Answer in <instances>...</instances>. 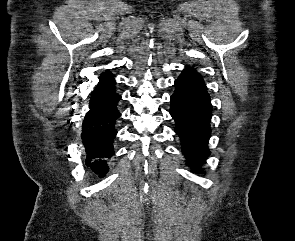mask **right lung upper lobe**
Masks as SVG:
<instances>
[{"label":"right lung upper lobe","mask_w":295,"mask_h":241,"mask_svg":"<svg viewBox=\"0 0 295 241\" xmlns=\"http://www.w3.org/2000/svg\"><path fill=\"white\" fill-rule=\"evenodd\" d=\"M99 83L98 85H103L105 83H108L110 81H113V75L107 70L106 72L102 73L101 76L99 77ZM97 85V86H98Z\"/></svg>","instance_id":"right-lung-upper-lobe-1"}]
</instances>
